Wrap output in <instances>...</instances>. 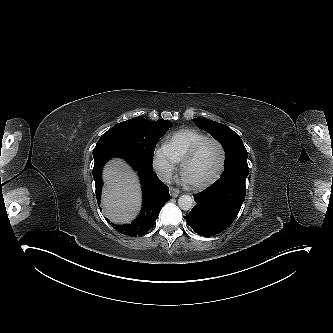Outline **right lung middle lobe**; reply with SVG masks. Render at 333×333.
<instances>
[{
  "mask_svg": "<svg viewBox=\"0 0 333 333\" xmlns=\"http://www.w3.org/2000/svg\"><path fill=\"white\" fill-rule=\"evenodd\" d=\"M166 120L148 121L133 118L114 125L107 134L116 135L129 143L148 163L152 164L158 139L172 127Z\"/></svg>",
  "mask_w": 333,
  "mask_h": 333,
  "instance_id": "obj_1",
  "label": "right lung middle lobe"
}]
</instances>
